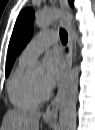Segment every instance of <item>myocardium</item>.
Wrapping results in <instances>:
<instances>
[{
    "instance_id": "myocardium-1",
    "label": "myocardium",
    "mask_w": 95,
    "mask_h": 130,
    "mask_svg": "<svg viewBox=\"0 0 95 130\" xmlns=\"http://www.w3.org/2000/svg\"><path fill=\"white\" fill-rule=\"evenodd\" d=\"M33 83H34L36 92L40 96V98L42 100L48 99L50 96V91L47 88H45V86L36 83L34 80H33Z\"/></svg>"
}]
</instances>
